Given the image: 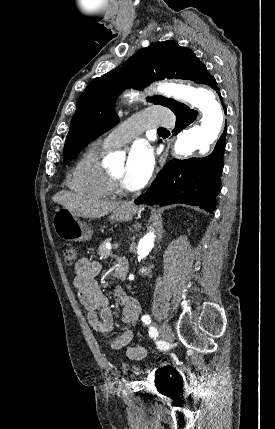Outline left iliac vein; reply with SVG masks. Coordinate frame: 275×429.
<instances>
[{
  "label": "left iliac vein",
  "mask_w": 275,
  "mask_h": 429,
  "mask_svg": "<svg viewBox=\"0 0 275 429\" xmlns=\"http://www.w3.org/2000/svg\"><path fill=\"white\" fill-rule=\"evenodd\" d=\"M159 333H160L163 341H165L167 343L172 342V340H173V332H172L171 327L167 323L163 322V323L160 324V326H159Z\"/></svg>",
  "instance_id": "1"
}]
</instances>
